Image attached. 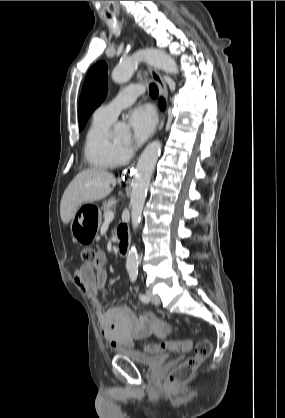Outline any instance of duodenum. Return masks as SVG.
<instances>
[{
    "label": "duodenum",
    "instance_id": "1",
    "mask_svg": "<svg viewBox=\"0 0 285 418\" xmlns=\"http://www.w3.org/2000/svg\"><path fill=\"white\" fill-rule=\"evenodd\" d=\"M117 238H118V250L119 254L122 256H127L130 250V241L128 236L123 235L121 230L118 229L117 231Z\"/></svg>",
    "mask_w": 285,
    "mask_h": 418
}]
</instances>
